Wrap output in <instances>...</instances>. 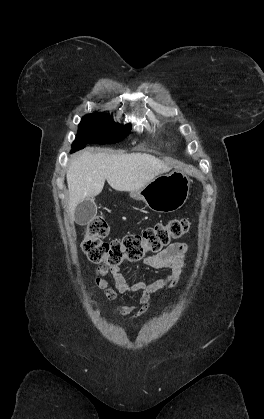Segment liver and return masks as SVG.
Segmentation results:
<instances>
[{
    "instance_id": "6515ba94",
    "label": "liver",
    "mask_w": 264,
    "mask_h": 419,
    "mask_svg": "<svg viewBox=\"0 0 264 419\" xmlns=\"http://www.w3.org/2000/svg\"><path fill=\"white\" fill-rule=\"evenodd\" d=\"M163 160L148 153L108 155L91 149L71 158L67 169L69 211L101 193L105 180L117 191H136L170 170Z\"/></svg>"
}]
</instances>
